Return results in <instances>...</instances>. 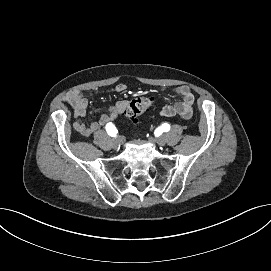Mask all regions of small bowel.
Segmentation results:
<instances>
[{
  "label": "small bowel",
  "mask_w": 271,
  "mask_h": 271,
  "mask_svg": "<svg viewBox=\"0 0 271 271\" xmlns=\"http://www.w3.org/2000/svg\"><path fill=\"white\" fill-rule=\"evenodd\" d=\"M127 90L125 84H117L111 89V92L123 93ZM175 96L179 97L180 100L172 105L164 106L159 114L164 117L178 116L184 120H188L193 114V103L194 95L188 86H178L174 89ZM65 101L70 104L74 111L76 120L73 123L74 130L81 136L88 137L95 134L100 130L101 127L106 126L121 115L127 102L120 100L110 107L109 112L102 114L98 121L90 122L85 124L82 119L86 115V109L88 106V97L80 90L74 89L69 91L65 95Z\"/></svg>",
  "instance_id": "c3829d8e"
}]
</instances>
